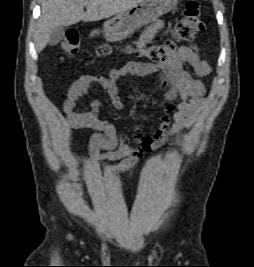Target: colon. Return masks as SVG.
I'll list each match as a JSON object with an SVG mask.
<instances>
[{"mask_svg":"<svg viewBox=\"0 0 254 267\" xmlns=\"http://www.w3.org/2000/svg\"><path fill=\"white\" fill-rule=\"evenodd\" d=\"M200 5L196 0H188L185 4L182 17L174 24L171 37L163 43L155 44L136 51V54L147 57L154 62H164L178 51V44L192 41L203 30ZM80 38L74 29L67 31L61 42V49L65 57H72L78 50ZM127 51H132L127 47ZM112 47L103 44L98 48L100 55H108Z\"/></svg>","mask_w":254,"mask_h":267,"instance_id":"obj_1","label":"colon"}]
</instances>
